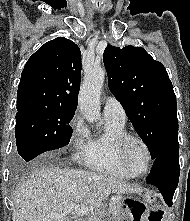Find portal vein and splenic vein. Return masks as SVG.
<instances>
[{"label":"portal vein and splenic vein","instance_id":"18ae733b","mask_svg":"<svg viewBox=\"0 0 190 221\" xmlns=\"http://www.w3.org/2000/svg\"><path fill=\"white\" fill-rule=\"evenodd\" d=\"M89 213L90 209L88 207L85 206L77 207L76 205L71 204L67 206V208H65L63 213L52 215V217L65 218L67 215L83 216V215H88Z\"/></svg>","mask_w":190,"mask_h":221}]
</instances>
